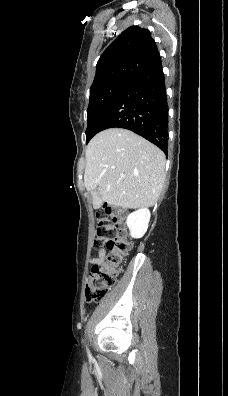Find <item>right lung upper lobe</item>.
Returning a JSON list of instances; mask_svg holds the SVG:
<instances>
[{
    "mask_svg": "<svg viewBox=\"0 0 228 396\" xmlns=\"http://www.w3.org/2000/svg\"><path fill=\"white\" fill-rule=\"evenodd\" d=\"M159 56L150 31L131 26L99 58L90 90L112 82L131 83Z\"/></svg>",
    "mask_w": 228,
    "mask_h": 396,
    "instance_id": "1",
    "label": "right lung upper lobe"
}]
</instances>
